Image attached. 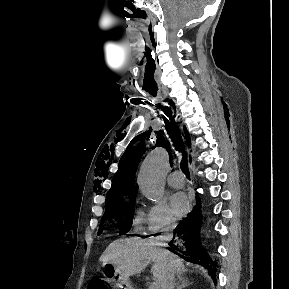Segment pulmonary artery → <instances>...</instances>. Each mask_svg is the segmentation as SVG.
I'll use <instances>...</instances> for the list:
<instances>
[{
	"label": "pulmonary artery",
	"instance_id": "obj_1",
	"mask_svg": "<svg viewBox=\"0 0 289 289\" xmlns=\"http://www.w3.org/2000/svg\"><path fill=\"white\" fill-rule=\"evenodd\" d=\"M167 183L173 188H182L185 184V180L180 171H173L167 177Z\"/></svg>",
	"mask_w": 289,
	"mask_h": 289
}]
</instances>
